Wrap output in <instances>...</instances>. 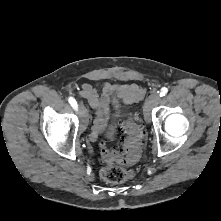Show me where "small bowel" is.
Masks as SVG:
<instances>
[{
  "label": "small bowel",
  "mask_w": 221,
  "mask_h": 221,
  "mask_svg": "<svg viewBox=\"0 0 221 221\" xmlns=\"http://www.w3.org/2000/svg\"><path fill=\"white\" fill-rule=\"evenodd\" d=\"M86 99L95 112L90 139L95 141L111 120L110 101L114 94L125 102H134L142 96V89L136 84L114 85L103 83L98 91L91 84H83L76 92Z\"/></svg>",
  "instance_id": "obj_1"
}]
</instances>
